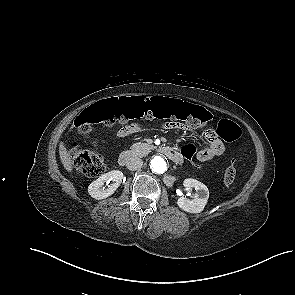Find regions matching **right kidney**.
I'll use <instances>...</instances> for the list:
<instances>
[{
    "label": "right kidney",
    "instance_id": "1",
    "mask_svg": "<svg viewBox=\"0 0 295 295\" xmlns=\"http://www.w3.org/2000/svg\"><path fill=\"white\" fill-rule=\"evenodd\" d=\"M123 179V173L119 170H112L108 173L101 175L98 179L94 180L88 186L89 195L96 199L101 200L109 197L114 193V191L120 186ZM112 181V184L108 185L105 189L103 185L109 184Z\"/></svg>",
    "mask_w": 295,
    "mask_h": 295
}]
</instances>
